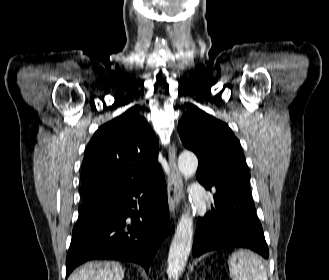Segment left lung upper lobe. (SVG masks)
Masks as SVG:
<instances>
[{
	"mask_svg": "<svg viewBox=\"0 0 329 280\" xmlns=\"http://www.w3.org/2000/svg\"><path fill=\"white\" fill-rule=\"evenodd\" d=\"M178 131L185 147L199 159L198 181L214 196L248 188L250 172L240 142L227 124L195 108L184 113Z\"/></svg>",
	"mask_w": 329,
	"mask_h": 280,
	"instance_id": "1",
	"label": "left lung upper lobe"
}]
</instances>
